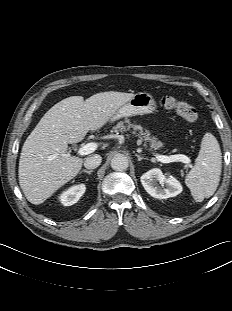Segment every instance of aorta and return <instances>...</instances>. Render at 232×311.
Returning <instances> with one entry per match:
<instances>
[{"instance_id":"obj_1","label":"aorta","mask_w":232,"mask_h":311,"mask_svg":"<svg viewBox=\"0 0 232 311\" xmlns=\"http://www.w3.org/2000/svg\"><path fill=\"white\" fill-rule=\"evenodd\" d=\"M128 166V159L123 154H117L111 159V167L113 170L123 171L126 170Z\"/></svg>"}]
</instances>
